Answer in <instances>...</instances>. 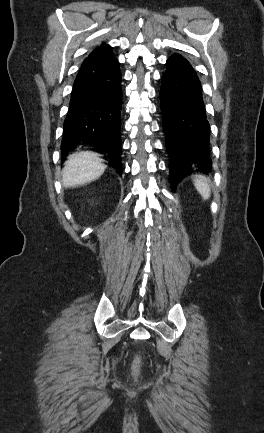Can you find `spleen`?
Returning a JSON list of instances; mask_svg holds the SVG:
<instances>
[{
    "label": "spleen",
    "instance_id": "3e777b00",
    "mask_svg": "<svg viewBox=\"0 0 264 433\" xmlns=\"http://www.w3.org/2000/svg\"><path fill=\"white\" fill-rule=\"evenodd\" d=\"M194 186H195V188L197 189V191L200 193V195L202 196V198L204 200H207L210 197L211 189H210V185H209L208 179H206L203 176H199L194 181Z\"/></svg>",
    "mask_w": 264,
    "mask_h": 433
}]
</instances>
